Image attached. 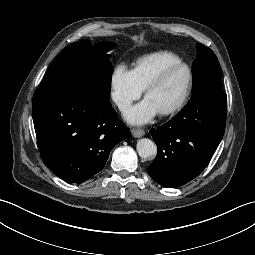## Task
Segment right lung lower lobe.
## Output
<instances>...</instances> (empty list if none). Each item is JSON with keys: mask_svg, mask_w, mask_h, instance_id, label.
Instances as JSON below:
<instances>
[{"mask_svg": "<svg viewBox=\"0 0 255 255\" xmlns=\"http://www.w3.org/2000/svg\"><path fill=\"white\" fill-rule=\"evenodd\" d=\"M32 114L44 164L71 183L101 171L112 148L130 135L109 100L75 88H38Z\"/></svg>", "mask_w": 255, "mask_h": 255, "instance_id": "right-lung-lower-lobe-1", "label": "right lung lower lobe"}]
</instances>
